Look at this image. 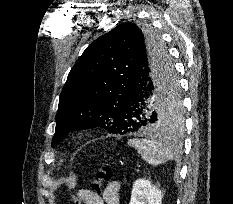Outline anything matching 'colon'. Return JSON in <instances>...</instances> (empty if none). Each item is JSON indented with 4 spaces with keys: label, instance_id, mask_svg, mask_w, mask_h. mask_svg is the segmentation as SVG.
I'll list each match as a JSON object with an SVG mask.
<instances>
[{
    "label": "colon",
    "instance_id": "obj_1",
    "mask_svg": "<svg viewBox=\"0 0 233 204\" xmlns=\"http://www.w3.org/2000/svg\"><path fill=\"white\" fill-rule=\"evenodd\" d=\"M112 177V169L109 165H101L94 173L93 179L90 183L88 191L94 195L99 196L102 193L103 184L109 181ZM79 199V194L75 195V200Z\"/></svg>",
    "mask_w": 233,
    "mask_h": 204
}]
</instances>
